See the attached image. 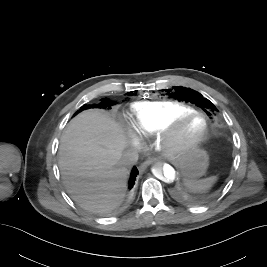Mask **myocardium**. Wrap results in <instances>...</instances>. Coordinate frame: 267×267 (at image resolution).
Segmentation results:
<instances>
[{
    "instance_id": "1",
    "label": "myocardium",
    "mask_w": 267,
    "mask_h": 267,
    "mask_svg": "<svg viewBox=\"0 0 267 267\" xmlns=\"http://www.w3.org/2000/svg\"><path fill=\"white\" fill-rule=\"evenodd\" d=\"M196 117L203 120V128L201 132L189 139L181 138L179 136L180 128L187 121ZM208 133L209 121L207 116L204 113L195 110L166 122L156 134V144L166 155H178L197 148L207 138Z\"/></svg>"
}]
</instances>
